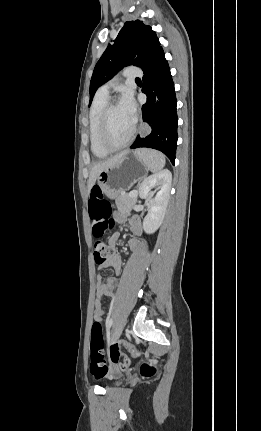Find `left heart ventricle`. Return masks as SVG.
I'll return each instance as SVG.
<instances>
[{"mask_svg":"<svg viewBox=\"0 0 261 431\" xmlns=\"http://www.w3.org/2000/svg\"><path fill=\"white\" fill-rule=\"evenodd\" d=\"M134 122L119 104L110 111L108 117V134L112 143H122L129 135Z\"/></svg>","mask_w":261,"mask_h":431,"instance_id":"left-heart-ventricle-1","label":"left heart ventricle"}]
</instances>
